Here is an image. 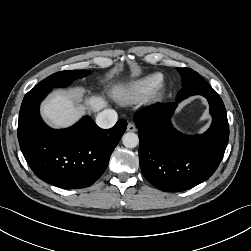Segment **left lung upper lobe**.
Listing matches in <instances>:
<instances>
[{"label":"left lung upper lobe","instance_id":"5c2ea615","mask_svg":"<svg viewBox=\"0 0 251 251\" xmlns=\"http://www.w3.org/2000/svg\"><path fill=\"white\" fill-rule=\"evenodd\" d=\"M179 74L182 77L183 83L182 86L184 89H189L192 87H199L207 83L197 72L189 68H176Z\"/></svg>","mask_w":251,"mask_h":251}]
</instances>
